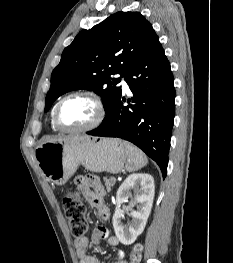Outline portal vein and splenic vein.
<instances>
[{"mask_svg":"<svg viewBox=\"0 0 233 263\" xmlns=\"http://www.w3.org/2000/svg\"><path fill=\"white\" fill-rule=\"evenodd\" d=\"M111 179L114 180V181H116V178H115V177H112Z\"/></svg>","mask_w":233,"mask_h":263,"instance_id":"obj_1","label":"portal vein and splenic vein"}]
</instances>
